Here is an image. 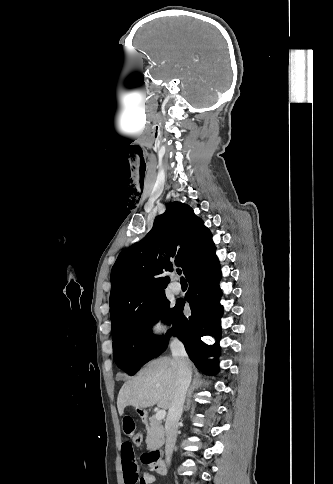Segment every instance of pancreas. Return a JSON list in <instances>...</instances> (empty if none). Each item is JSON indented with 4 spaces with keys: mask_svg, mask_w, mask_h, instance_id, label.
Returning <instances> with one entry per match:
<instances>
[{
    "mask_svg": "<svg viewBox=\"0 0 333 484\" xmlns=\"http://www.w3.org/2000/svg\"><path fill=\"white\" fill-rule=\"evenodd\" d=\"M147 437L146 444L148 450H155L160 448L164 443V428L161 421L155 417L149 418V423L146 424Z\"/></svg>",
    "mask_w": 333,
    "mask_h": 484,
    "instance_id": "obj_1",
    "label": "pancreas"
}]
</instances>
